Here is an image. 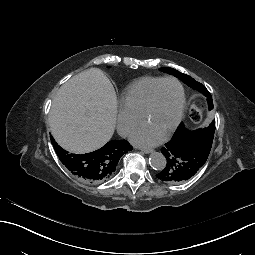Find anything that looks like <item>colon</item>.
<instances>
[{
	"instance_id": "colon-1",
	"label": "colon",
	"mask_w": 255,
	"mask_h": 255,
	"mask_svg": "<svg viewBox=\"0 0 255 255\" xmlns=\"http://www.w3.org/2000/svg\"><path fill=\"white\" fill-rule=\"evenodd\" d=\"M189 114L192 120L195 122H200L203 118L202 109L196 104V102L191 104Z\"/></svg>"
}]
</instances>
